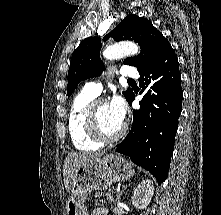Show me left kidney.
Wrapping results in <instances>:
<instances>
[{
    "label": "left kidney",
    "instance_id": "1",
    "mask_svg": "<svg viewBox=\"0 0 221 215\" xmlns=\"http://www.w3.org/2000/svg\"><path fill=\"white\" fill-rule=\"evenodd\" d=\"M154 194L153 181L150 179L143 180L135 189L132 196V204L138 209H146Z\"/></svg>",
    "mask_w": 221,
    "mask_h": 215
}]
</instances>
